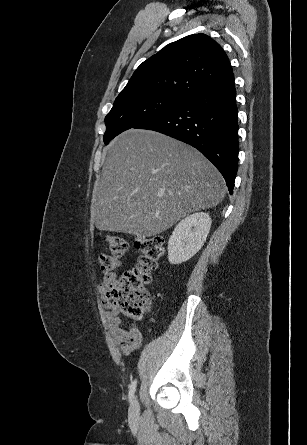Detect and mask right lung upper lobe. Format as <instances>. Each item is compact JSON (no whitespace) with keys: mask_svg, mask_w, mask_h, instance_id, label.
Returning <instances> with one entry per match:
<instances>
[{"mask_svg":"<svg viewBox=\"0 0 307 445\" xmlns=\"http://www.w3.org/2000/svg\"><path fill=\"white\" fill-rule=\"evenodd\" d=\"M233 73L221 46L205 34L184 37L144 61L119 95L187 97Z\"/></svg>","mask_w":307,"mask_h":445,"instance_id":"right-lung-upper-lobe-1","label":"right lung upper lobe"}]
</instances>
